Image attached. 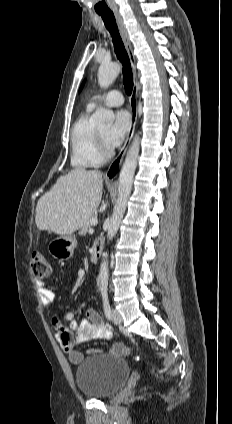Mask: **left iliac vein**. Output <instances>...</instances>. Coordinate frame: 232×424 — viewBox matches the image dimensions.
Masks as SVG:
<instances>
[{
  "label": "left iliac vein",
  "mask_w": 232,
  "mask_h": 424,
  "mask_svg": "<svg viewBox=\"0 0 232 424\" xmlns=\"http://www.w3.org/2000/svg\"><path fill=\"white\" fill-rule=\"evenodd\" d=\"M111 318L114 324L120 325L122 323V316L117 310H112Z\"/></svg>",
  "instance_id": "obj_1"
}]
</instances>
